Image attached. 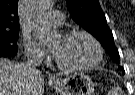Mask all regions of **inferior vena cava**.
I'll list each match as a JSON object with an SVG mask.
<instances>
[{
    "label": "inferior vena cava",
    "instance_id": "obj_1",
    "mask_svg": "<svg viewBox=\"0 0 135 95\" xmlns=\"http://www.w3.org/2000/svg\"><path fill=\"white\" fill-rule=\"evenodd\" d=\"M41 63L40 56L36 53H31L27 62L24 64V67L29 73H35L37 71L36 67Z\"/></svg>",
    "mask_w": 135,
    "mask_h": 95
}]
</instances>
